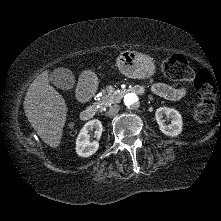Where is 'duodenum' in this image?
<instances>
[{"instance_id": "1", "label": "duodenum", "mask_w": 221, "mask_h": 221, "mask_svg": "<svg viewBox=\"0 0 221 221\" xmlns=\"http://www.w3.org/2000/svg\"><path fill=\"white\" fill-rule=\"evenodd\" d=\"M97 90V87L90 81L82 83L77 90V98L81 102H86L93 97ZM131 92L138 93V90L132 89ZM129 91L124 92V94ZM96 108L94 106L86 107L80 114L82 120L86 121L92 119L96 115Z\"/></svg>"}]
</instances>
